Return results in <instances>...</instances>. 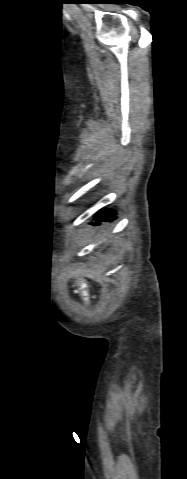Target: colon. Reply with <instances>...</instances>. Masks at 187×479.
<instances>
[{
  "instance_id": "5ec220e1",
  "label": "colon",
  "mask_w": 187,
  "mask_h": 479,
  "mask_svg": "<svg viewBox=\"0 0 187 479\" xmlns=\"http://www.w3.org/2000/svg\"><path fill=\"white\" fill-rule=\"evenodd\" d=\"M81 297L85 302H89L91 299V295L89 294L88 290L86 287H82L79 290Z\"/></svg>"
}]
</instances>
